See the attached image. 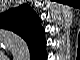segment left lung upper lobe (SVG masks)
<instances>
[{"mask_svg": "<svg viewBox=\"0 0 80 60\" xmlns=\"http://www.w3.org/2000/svg\"><path fill=\"white\" fill-rule=\"evenodd\" d=\"M0 26L20 35L27 42L32 54L40 50L43 29L37 14L27 4L1 14Z\"/></svg>", "mask_w": 80, "mask_h": 60, "instance_id": "5c2ea615", "label": "left lung upper lobe"}]
</instances>
